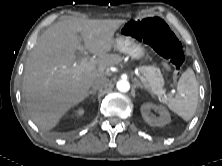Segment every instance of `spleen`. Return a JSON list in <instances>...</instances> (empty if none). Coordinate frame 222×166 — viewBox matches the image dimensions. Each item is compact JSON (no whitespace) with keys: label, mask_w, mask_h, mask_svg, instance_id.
I'll list each match as a JSON object with an SVG mask.
<instances>
[{"label":"spleen","mask_w":222,"mask_h":166,"mask_svg":"<svg viewBox=\"0 0 222 166\" xmlns=\"http://www.w3.org/2000/svg\"><path fill=\"white\" fill-rule=\"evenodd\" d=\"M198 94V82L194 71L188 68L182 73L177 84V94L170 99L168 107L183 120L189 121L195 114Z\"/></svg>","instance_id":"3e777b00"}]
</instances>
